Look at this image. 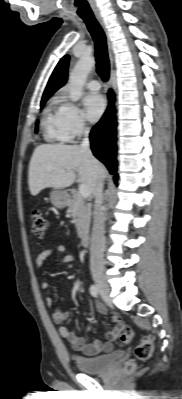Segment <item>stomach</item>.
I'll return each instance as SVG.
<instances>
[{
	"label": "stomach",
	"mask_w": 182,
	"mask_h": 399,
	"mask_svg": "<svg viewBox=\"0 0 182 399\" xmlns=\"http://www.w3.org/2000/svg\"><path fill=\"white\" fill-rule=\"evenodd\" d=\"M50 199L53 206L62 209L70 203L69 195L66 191L54 190L50 193Z\"/></svg>",
	"instance_id": "0dacf381"
}]
</instances>
